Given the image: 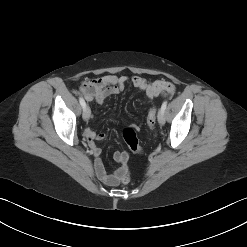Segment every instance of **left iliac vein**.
<instances>
[{"instance_id":"obj_1","label":"left iliac vein","mask_w":247,"mask_h":247,"mask_svg":"<svg viewBox=\"0 0 247 247\" xmlns=\"http://www.w3.org/2000/svg\"><path fill=\"white\" fill-rule=\"evenodd\" d=\"M158 122L160 125H164L165 124V115L163 111H159L158 113Z\"/></svg>"}]
</instances>
